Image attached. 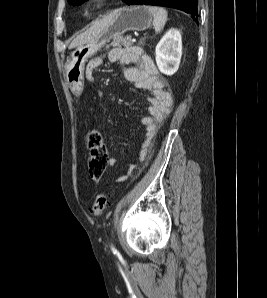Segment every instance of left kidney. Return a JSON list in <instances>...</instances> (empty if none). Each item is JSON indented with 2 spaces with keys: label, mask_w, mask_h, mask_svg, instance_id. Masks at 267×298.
I'll list each match as a JSON object with an SVG mask.
<instances>
[{
  "label": "left kidney",
  "mask_w": 267,
  "mask_h": 298,
  "mask_svg": "<svg viewBox=\"0 0 267 298\" xmlns=\"http://www.w3.org/2000/svg\"><path fill=\"white\" fill-rule=\"evenodd\" d=\"M155 54L156 64L161 73L168 76L176 73L182 56L180 31L169 29L157 44Z\"/></svg>",
  "instance_id": "left-kidney-1"
}]
</instances>
